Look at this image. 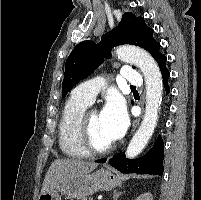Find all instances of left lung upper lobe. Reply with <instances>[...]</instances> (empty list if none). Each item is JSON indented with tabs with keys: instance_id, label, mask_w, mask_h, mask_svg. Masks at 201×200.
<instances>
[{
	"instance_id": "5c2ea615",
	"label": "left lung upper lobe",
	"mask_w": 201,
	"mask_h": 200,
	"mask_svg": "<svg viewBox=\"0 0 201 200\" xmlns=\"http://www.w3.org/2000/svg\"><path fill=\"white\" fill-rule=\"evenodd\" d=\"M132 44L147 50L156 59L160 43L154 40L153 30L142 17L124 13L117 27L102 36L100 43L83 41L70 53L65 64L62 97L82 79L86 78L104 61L111 57V49L117 45Z\"/></svg>"
}]
</instances>
